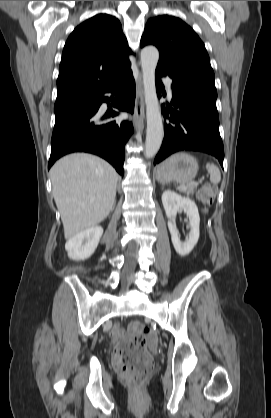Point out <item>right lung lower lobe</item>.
<instances>
[{"label":"right lung lower lobe","instance_id":"obj_1","mask_svg":"<svg viewBox=\"0 0 271 418\" xmlns=\"http://www.w3.org/2000/svg\"><path fill=\"white\" fill-rule=\"evenodd\" d=\"M116 94L114 107L133 113L135 82L129 69L108 85L97 97L67 106L55 112L48 169L60 157L72 152H88L110 162L123 176L124 145L133 132L128 121H110L117 112L99 111L103 102L110 103L104 93Z\"/></svg>","mask_w":271,"mask_h":418}]
</instances>
